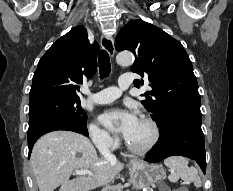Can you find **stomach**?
Masks as SVG:
<instances>
[{
    "instance_id": "obj_1",
    "label": "stomach",
    "mask_w": 233,
    "mask_h": 191,
    "mask_svg": "<svg viewBox=\"0 0 233 191\" xmlns=\"http://www.w3.org/2000/svg\"><path fill=\"white\" fill-rule=\"evenodd\" d=\"M130 182L135 189L149 187L165 179L166 173L161 165L134 162L129 170Z\"/></svg>"
}]
</instances>
